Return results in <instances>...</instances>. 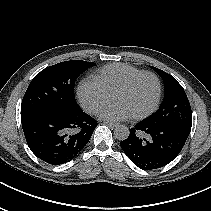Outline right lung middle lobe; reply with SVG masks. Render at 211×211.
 <instances>
[{
  "mask_svg": "<svg viewBox=\"0 0 211 211\" xmlns=\"http://www.w3.org/2000/svg\"><path fill=\"white\" fill-rule=\"evenodd\" d=\"M93 62L65 61L47 67L31 81L21 104V116L49 112H77L74 84Z\"/></svg>",
  "mask_w": 211,
  "mask_h": 211,
  "instance_id": "right-lung-middle-lobe-1",
  "label": "right lung middle lobe"
}]
</instances>
